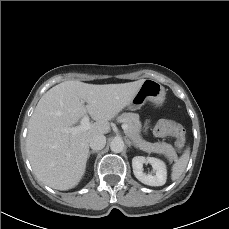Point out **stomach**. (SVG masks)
I'll return each mask as SVG.
<instances>
[{"label": "stomach", "mask_w": 229, "mask_h": 229, "mask_svg": "<svg viewBox=\"0 0 229 229\" xmlns=\"http://www.w3.org/2000/svg\"><path fill=\"white\" fill-rule=\"evenodd\" d=\"M165 88L155 80L147 79L143 82L133 100L128 105L129 109H140L146 102L156 106L162 105L165 100Z\"/></svg>", "instance_id": "stomach-1"}]
</instances>
